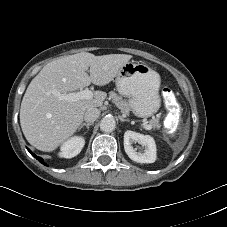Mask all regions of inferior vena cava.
<instances>
[{"label": "inferior vena cava", "mask_w": 227, "mask_h": 227, "mask_svg": "<svg viewBox=\"0 0 227 227\" xmlns=\"http://www.w3.org/2000/svg\"><path fill=\"white\" fill-rule=\"evenodd\" d=\"M100 116V110L97 108H89L84 114V120L87 123H93Z\"/></svg>", "instance_id": "obj_1"}]
</instances>
